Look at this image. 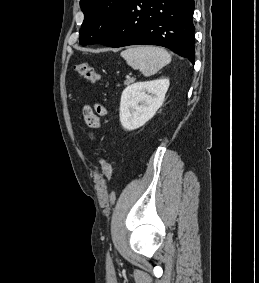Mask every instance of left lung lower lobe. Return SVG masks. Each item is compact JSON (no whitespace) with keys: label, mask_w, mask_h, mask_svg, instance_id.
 <instances>
[{"label":"left lung lower lobe","mask_w":259,"mask_h":283,"mask_svg":"<svg viewBox=\"0 0 259 283\" xmlns=\"http://www.w3.org/2000/svg\"><path fill=\"white\" fill-rule=\"evenodd\" d=\"M194 0H130L113 31L99 44L164 46L195 59Z\"/></svg>","instance_id":"0a47b994"}]
</instances>
